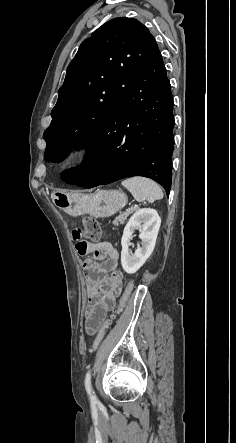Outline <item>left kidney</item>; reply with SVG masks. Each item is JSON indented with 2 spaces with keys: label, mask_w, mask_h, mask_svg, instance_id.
Listing matches in <instances>:
<instances>
[{
  "label": "left kidney",
  "mask_w": 236,
  "mask_h": 443,
  "mask_svg": "<svg viewBox=\"0 0 236 443\" xmlns=\"http://www.w3.org/2000/svg\"><path fill=\"white\" fill-rule=\"evenodd\" d=\"M160 225L161 218L157 211L151 208L139 209L130 218L124 228L121 239V264L126 273L133 274L137 272L150 257L156 244ZM137 228H142L139 234V238L142 241L141 246L137 247L134 254H130V241L134 230Z\"/></svg>",
  "instance_id": "5707ae66"
}]
</instances>
